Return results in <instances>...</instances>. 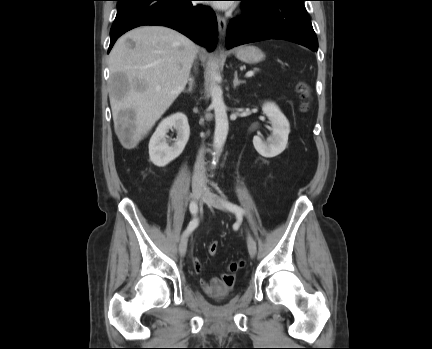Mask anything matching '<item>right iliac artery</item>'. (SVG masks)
I'll return each instance as SVG.
<instances>
[{"mask_svg":"<svg viewBox=\"0 0 432 349\" xmlns=\"http://www.w3.org/2000/svg\"><path fill=\"white\" fill-rule=\"evenodd\" d=\"M190 212L192 213V221L189 223L187 229L185 230L184 234L191 233L197 226V204L195 202H191L189 206Z\"/></svg>","mask_w":432,"mask_h":349,"instance_id":"right-iliac-artery-1","label":"right iliac artery"}]
</instances>
